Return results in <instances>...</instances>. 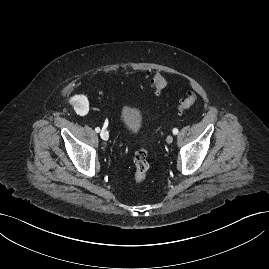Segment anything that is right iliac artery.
I'll list each match as a JSON object with an SVG mask.
<instances>
[{"instance_id":"right-iliac-artery-1","label":"right iliac artery","mask_w":269,"mask_h":269,"mask_svg":"<svg viewBox=\"0 0 269 269\" xmlns=\"http://www.w3.org/2000/svg\"><path fill=\"white\" fill-rule=\"evenodd\" d=\"M95 131H96L97 133H99V132H100V128H99V127H96V128H95Z\"/></svg>"}]
</instances>
